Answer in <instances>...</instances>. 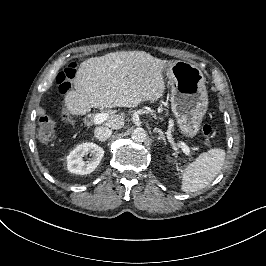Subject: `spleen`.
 <instances>
[{"mask_svg": "<svg viewBox=\"0 0 266 266\" xmlns=\"http://www.w3.org/2000/svg\"><path fill=\"white\" fill-rule=\"evenodd\" d=\"M225 156V151L220 148L200 154L182 171V191L197 192L208 186L221 171Z\"/></svg>", "mask_w": 266, "mask_h": 266, "instance_id": "spleen-1", "label": "spleen"}]
</instances>
